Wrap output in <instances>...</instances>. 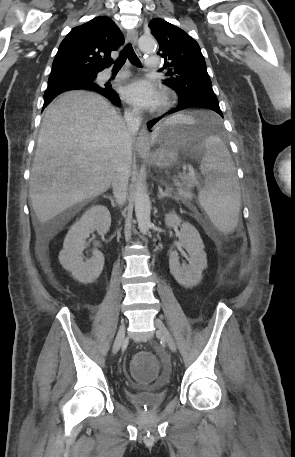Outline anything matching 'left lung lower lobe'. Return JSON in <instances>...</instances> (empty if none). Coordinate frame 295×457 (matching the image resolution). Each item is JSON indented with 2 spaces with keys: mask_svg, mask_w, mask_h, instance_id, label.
Here are the masks:
<instances>
[{
  "mask_svg": "<svg viewBox=\"0 0 295 457\" xmlns=\"http://www.w3.org/2000/svg\"><path fill=\"white\" fill-rule=\"evenodd\" d=\"M205 107L209 108L215 112H217L221 117H223L222 112L219 108V102L215 96H203V97H196V98H191L185 102H180V107L177 109H174L170 111L169 113H173L182 109H186L189 107ZM161 119V117L151 120L148 122V127L151 128L156 122H158Z\"/></svg>",
  "mask_w": 295,
  "mask_h": 457,
  "instance_id": "obj_1",
  "label": "left lung lower lobe"
}]
</instances>
